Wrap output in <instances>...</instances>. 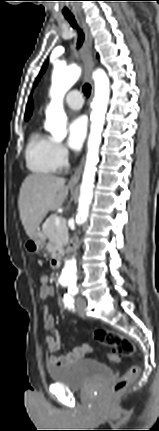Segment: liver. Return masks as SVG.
<instances>
[{
	"label": "liver",
	"instance_id": "obj_1",
	"mask_svg": "<svg viewBox=\"0 0 159 431\" xmlns=\"http://www.w3.org/2000/svg\"><path fill=\"white\" fill-rule=\"evenodd\" d=\"M65 179L49 174H30L22 183L18 198L20 219L31 238L49 211L59 209L65 202L69 186Z\"/></svg>",
	"mask_w": 159,
	"mask_h": 431
}]
</instances>
